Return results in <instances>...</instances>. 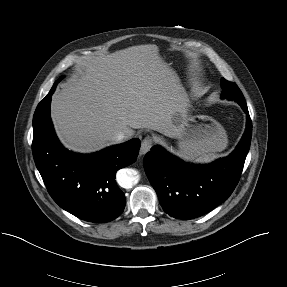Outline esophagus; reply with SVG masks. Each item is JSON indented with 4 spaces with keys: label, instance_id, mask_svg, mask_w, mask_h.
<instances>
[{
    "label": "esophagus",
    "instance_id": "1",
    "mask_svg": "<svg viewBox=\"0 0 287 287\" xmlns=\"http://www.w3.org/2000/svg\"><path fill=\"white\" fill-rule=\"evenodd\" d=\"M153 143H154V139L151 136L145 137L141 144L140 153L142 155L146 154L153 146Z\"/></svg>",
    "mask_w": 287,
    "mask_h": 287
}]
</instances>
